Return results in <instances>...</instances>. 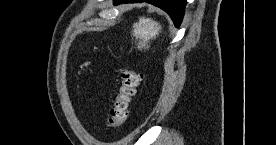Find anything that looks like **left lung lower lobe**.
I'll return each instance as SVG.
<instances>
[{"instance_id": "obj_1", "label": "left lung lower lobe", "mask_w": 276, "mask_h": 145, "mask_svg": "<svg viewBox=\"0 0 276 145\" xmlns=\"http://www.w3.org/2000/svg\"><path fill=\"white\" fill-rule=\"evenodd\" d=\"M145 1L166 11L170 15L175 26H180L184 16L186 0H114V5H118L121 3Z\"/></svg>"}]
</instances>
